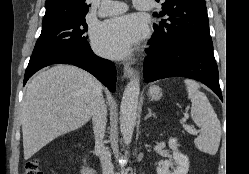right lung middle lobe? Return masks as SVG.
Wrapping results in <instances>:
<instances>
[{
  "label": "right lung middle lobe",
  "instance_id": "dd1d6c3e",
  "mask_svg": "<svg viewBox=\"0 0 249 174\" xmlns=\"http://www.w3.org/2000/svg\"><path fill=\"white\" fill-rule=\"evenodd\" d=\"M87 29L85 16L42 26L33 53L57 48L89 47L85 34Z\"/></svg>",
  "mask_w": 249,
  "mask_h": 174
}]
</instances>
